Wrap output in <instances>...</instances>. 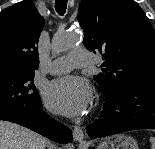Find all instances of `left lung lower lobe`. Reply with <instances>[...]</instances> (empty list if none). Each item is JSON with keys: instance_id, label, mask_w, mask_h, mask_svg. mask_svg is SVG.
Returning a JSON list of instances; mask_svg holds the SVG:
<instances>
[{"instance_id": "left-lung-lower-lobe-1", "label": "left lung lower lobe", "mask_w": 155, "mask_h": 149, "mask_svg": "<svg viewBox=\"0 0 155 149\" xmlns=\"http://www.w3.org/2000/svg\"><path fill=\"white\" fill-rule=\"evenodd\" d=\"M105 94L104 111L86 128L92 139L136 129H155V78L136 80Z\"/></svg>"}]
</instances>
